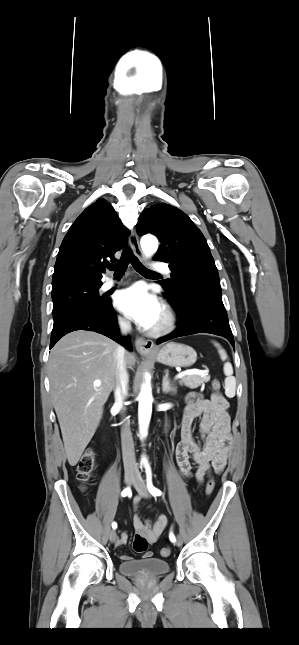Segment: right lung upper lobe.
<instances>
[{
    "mask_svg": "<svg viewBox=\"0 0 299 645\" xmlns=\"http://www.w3.org/2000/svg\"><path fill=\"white\" fill-rule=\"evenodd\" d=\"M129 231L103 199L86 208L70 227L54 267L52 292L73 284H102L104 263L127 242Z\"/></svg>",
    "mask_w": 299,
    "mask_h": 645,
    "instance_id": "cb5924a9",
    "label": "right lung upper lobe"
}]
</instances>
